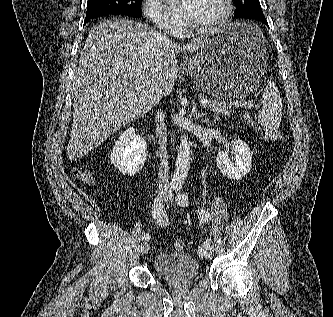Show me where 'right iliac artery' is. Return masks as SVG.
I'll use <instances>...</instances> for the list:
<instances>
[{
	"instance_id": "right-iliac-artery-1",
	"label": "right iliac artery",
	"mask_w": 333,
	"mask_h": 317,
	"mask_svg": "<svg viewBox=\"0 0 333 317\" xmlns=\"http://www.w3.org/2000/svg\"><path fill=\"white\" fill-rule=\"evenodd\" d=\"M174 188V186H173ZM172 189V186L167 187L163 192L158 195L153 203V208H152V214L153 218L159 223L161 226H167L168 225V217L165 211V206H164V195ZM142 239L147 241L150 239V235L147 233L142 234Z\"/></svg>"
}]
</instances>
